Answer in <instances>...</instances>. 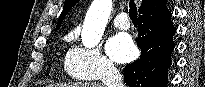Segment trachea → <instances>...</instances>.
I'll use <instances>...</instances> for the list:
<instances>
[{"label": "trachea", "mask_w": 205, "mask_h": 87, "mask_svg": "<svg viewBox=\"0 0 205 87\" xmlns=\"http://www.w3.org/2000/svg\"><path fill=\"white\" fill-rule=\"evenodd\" d=\"M129 17L133 22H138V17H137V7L135 5L134 0H130L129 2Z\"/></svg>", "instance_id": "3493384b"}]
</instances>
